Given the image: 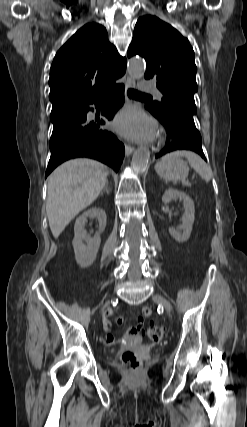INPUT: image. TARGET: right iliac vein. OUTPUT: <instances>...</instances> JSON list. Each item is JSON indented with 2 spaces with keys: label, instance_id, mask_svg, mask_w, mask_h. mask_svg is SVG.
<instances>
[{
  "label": "right iliac vein",
  "instance_id": "63e3f726",
  "mask_svg": "<svg viewBox=\"0 0 247 427\" xmlns=\"http://www.w3.org/2000/svg\"><path fill=\"white\" fill-rule=\"evenodd\" d=\"M109 307V302H107L105 305H104V307H103V309H102V311H104L106 308H108Z\"/></svg>",
  "mask_w": 247,
  "mask_h": 427
}]
</instances>
